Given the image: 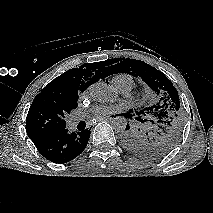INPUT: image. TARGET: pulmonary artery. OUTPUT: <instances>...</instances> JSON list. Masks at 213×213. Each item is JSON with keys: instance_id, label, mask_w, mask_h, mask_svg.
Masks as SVG:
<instances>
[{"instance_id": "e3ab8cb5", "label": "pulmonary artery", "mask_w": 213, "mask_h": 213, "mask_svg": "<svg viewBox=\"0 0 213 213\" xmlns=\"http://www.w3.org/2000/svg\"><path fill=\"white\" fill-rule=\"evenodd\" d=\"M112 84H113V83H112ZM115 88H116L119 92H121V93H123V94H127L128 92L131 91L132 85L129 84V83H125V84H122V85H117V86H115ZM80 120H81V115H78V116L72 117L71 122H72V124H76V123H78Z\"/></svg>"}]
</instances>
